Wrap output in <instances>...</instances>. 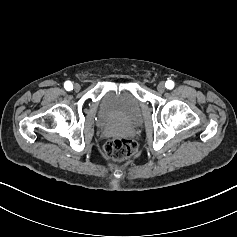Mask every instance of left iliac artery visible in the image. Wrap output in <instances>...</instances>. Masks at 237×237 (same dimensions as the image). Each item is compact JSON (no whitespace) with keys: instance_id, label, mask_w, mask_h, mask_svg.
I'll return each mask as SVG.
<instances>
[{"instance_id":"left-iliac-artery-1","label":"left iliac artery","mask_w":237,"mask_h":237,"mask_svg":"<svg viewBox=\"0 0 237 237\" xmlns=\"http://www.w3.org/2000/svg\"><path fill=\"white\" fill-rule=\"evenodd\" d=\"M165 87L167 89H173L174 87V82L172 80H167L166 83H165Z\"/></svg>"}]
</instances>
